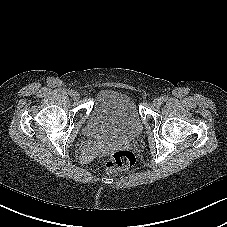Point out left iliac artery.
I'll return each instance as SVG.
<instances>
[{"instance_id":"obj_1","label":"left iliac artery","mask_w":227,"mask_h":227,"mask_svg":"<svg viewBox=\"0 0 227 227\" xmlns=\"http://www.w3.org/2000/svg\"><path fill=\"white\" fill-rule=\"evenodd\" d=\"M160 99H161L162 102H165V101H167L168 97L162 96Z\"/></svg>"}]
</instances>
